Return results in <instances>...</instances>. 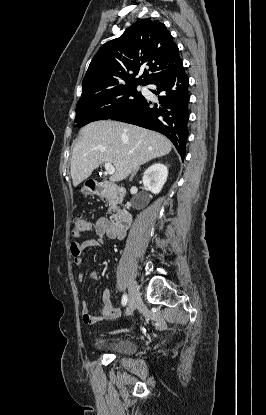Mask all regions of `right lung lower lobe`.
<instances>
[{
  "label": "right lung lower lobe",
  "mask_w": 266,
  "mask_h": 415,
  "mask_svg": "<svg viewBox=\"0 0 266 415\" xmlns=\"http://www.w3.org/2000/svg\"><path fill=\"white\" fill-rule=\"evenodd\" d=\"M150 84L157 86L151 90L158 95L160 104L152 106L145 98L136 106L112 117V120L138 125L162 133L168 137L182 159L188 138L189 119V79L181 65L175 71L159 77Z\"/></svg>",
  "instance_id": "obj_1"
}]
</instances>
